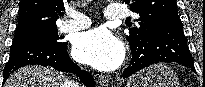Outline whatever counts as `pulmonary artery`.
I'll use <instances>...</instances> for the list:
<instances>
[{"label": "pulmonary artery", "instance_id": "e3ab8cb5", "mask_svg": "<svg viewBox=\"0 0 205 87\" xmlns=\"http://www.w3.org/2000/svg\"><path fill=\"white\" fill-rule=\"evenodd\" d=\"M129 10L120 4L109 5L105 11L106 19H124L129 15ZM69 21L61 24L59 27L61 32H74L85 29L91 25V20L86 15L71 10L68 12Z\"/></svg>", "mask_w": 205, "mask_h": 87}]
</instances>
